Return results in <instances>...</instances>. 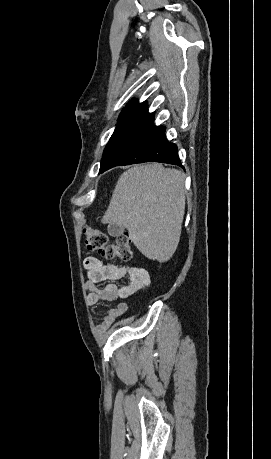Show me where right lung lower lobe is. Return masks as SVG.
<instances>
[{"mask_svg":"<svg viewBox=\"0 0 271 459\" xmlns=\"http://www.w3.org/2000/svg\"><path fill=\"white\" fill-rule=\"evenodd\" d=\"M165 129L164 126L156 127L151 122L108 162L104 171L119 165L143 162H162L183 167L177 146L167 141Z\"/></svg>","mask_w":271,"mask_h":459,"instance_id":"right-lung-lower-lobe-1","label":"right lung lower lobe"}]
</instances>
